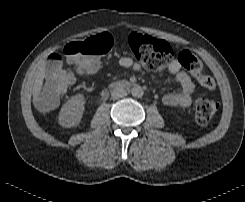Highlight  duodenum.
Returning <instances> with one entry per match:
<instances>
[{
    "instance_id": "410a0bca",
    "label": "duodenum",
    "mask_w": 245,
    "mask_h": 202,
    "mask_svg": "<svg viewBox=\"0 0 245 202\" xmlns=\"http://www.w3.org/2000/svg\"><path fill=\"white\" fill-rule=\"evenodd\" d=\"M133 85V83L131 82H122V83H118L113 85V88H117V89H128Z\"/></svg>"
}]
</instances>
